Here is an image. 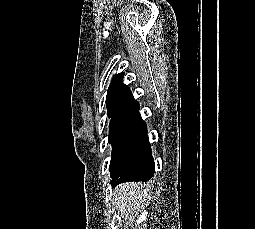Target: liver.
<instances>
[{
  "label": "liver",
  "instance_id": "1",
  "mask_svg": "<svg viewBox=\"0 0 255 229\" xmlns=\"http://www.w3.org/2000/svg\"><path fill=\"white\" fill-rule=\"evenodd\" d=\"M149 185L141 182L124 183L113 191V201L122 216H128L140 208L148 197Z\"/></svg>",
  "mask_w": 255,
  "mask_h": 229
}]
</instances>
